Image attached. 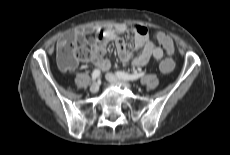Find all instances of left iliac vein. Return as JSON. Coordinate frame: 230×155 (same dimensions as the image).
Listing matches in <instances>:
<instances>
[{"label":"left iliac vein","instance_id":"4c4485c4","mask_svg":"<svg viewBox=\"0 0 230 155\" xmlns=\"http://www.w3.org/2000/svg\"><path fill=\"white\" fill-rule=\"evenodd\" d=\"M105 77L110 83L122 84V85H125V86H131V84L129 82L119 78L118 76L114 75L113 73H107L105 75Z\"/></svg>","mask_w":230,"mask_h":155}]
</instances>
